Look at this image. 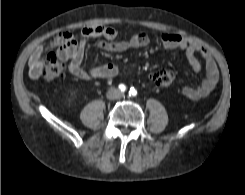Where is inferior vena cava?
I'll return each instance as SVG.
<instances>
[{
	"instance_id": "1",
	"label": "inferior vena cava",
	"mask_w": 245,
	"mask_h": 195,
	"mask_svg": "<svg viewBox=\"0 0 245 195\" xmlns=\"http://www.w3.org/2000/svg\"><path fill=\"white\" fill-rule=\"evenodd\" d=\"M122 96V93L120 91L116 92V95L114 96V98H119Z\"/></svg>"
}]
</instances>
